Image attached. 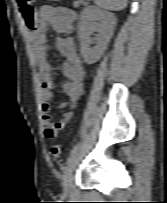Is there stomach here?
<instances>
[{
  "label": "stomach",
  "mask_w": 167,
  "mask_h": 203,
  "mask_svg": "<svg viewBox=\"0 0 167 203\" xmlns=\"http://www.w3.org/2000/svg\"><path fill=\"white\" fill-rule=\"evenodd\" d=\"M52 1H60V0H52Z\"/></svg>",
  "instance_id": "stomach-1"
}]
</instances>
